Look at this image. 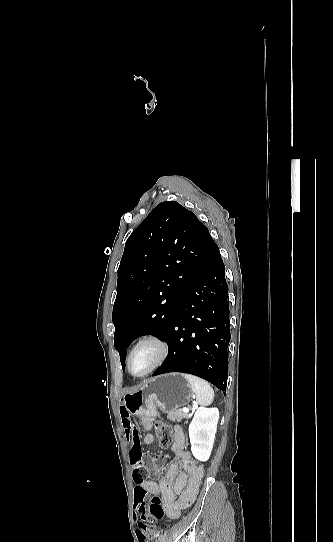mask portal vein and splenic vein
<instances>
[{"label":"portal vein and splenic vein","instance_id":"obj_1","mask_svg":"<svg viewBox=\"0 0 333 542\" xmlns=\"http://www.w3.org/2000/svg\"><path fill=\"white\" fill-rule=\"evenodd\" d=\"M182 412H185V414H188L190 412L189 408H183Z\"/></svg>","mask_w":333,"mask_h":542}]
</instances>
